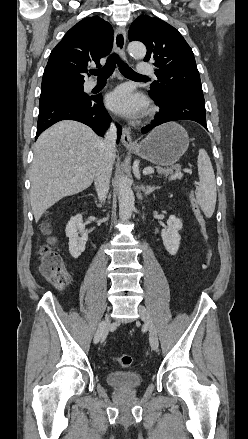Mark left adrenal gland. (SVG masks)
Returning <instances> with one entry per match:
<instances>
[{"mask_svg": "<svg viewBox=\"0 0 248 439\" xmlns=\"http://www.w3.org/2000/svg\"><path fill=\"white\" fill-rule=\"evenodd\" d=\"M157 188L158 187H155V186H144L143 184L141 185V190L144 192L145 195L152 193Z\"/></svg>", "mask_w": 248, "mask_h": 439, "instance_id": "1", "label": "left adrenal gland"}]
</instances>
